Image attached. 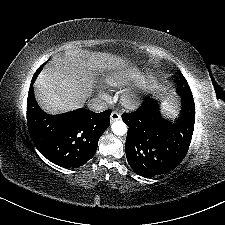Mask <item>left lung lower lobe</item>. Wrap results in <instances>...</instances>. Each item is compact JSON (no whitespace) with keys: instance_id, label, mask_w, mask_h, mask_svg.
Returning <instances> with one entry per match:
<instances>
[{"instance_id":"left-lung-lower-lobe-1","label":"left lung lower lobe","mask_w":225,"mask_h":225,"mask_svg":"<svg viewBox=\"0 0 225 225\" xmlns=\"http://www.w3.org/2000/svg\"><path fill=\"white\" fill-rule=\"evenodd\" d=\"M181 118L165 121L155 101H146L134 114L122 119L129 127L125 150L131 168L142 177H153L174 169L185 157L194 127V101L181 95Z\"/></svg>"}]
</instances>
